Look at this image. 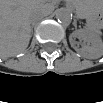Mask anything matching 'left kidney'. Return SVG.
<instances>
[{"mask_svg":"<svg viewBox=\"0 0 103 103\" xmlns=\"http://www.w3.org/2000/svg\"><path fill=\"white\" fill-rule=\"evenodd\" d=\"M74 37L86 41L88 44H90V47L78 49L77 47H75V43L73 41ZM69 40L72 47H74L76 51L84 54L86 58H98L102 54L101 40L91 34H86L82 31H74L70 35Z\"/></svg>","mask_w":103,"mask_h":103,"instance_id":"5707ae66","label":"left kidney"}]
</instances>
